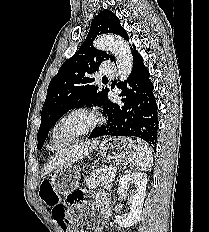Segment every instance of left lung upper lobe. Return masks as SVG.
<instances>
[{
  "instance_id": "1",
  "label": "left lung upper lobe",
  "mask_w": 209,
  "mask_h": 232,
  "mask_svg": "<svg viewBox=\"0 0 209 232\" xmlns=\"http://www.w3.org/2000/svg\"><path fill=\"white\" fill-rule=\"evenodd\" d=\"M103 33H114L129 39L112 11L103 10L92 20L89 33L79 50L63 63L49 84L37 135L38 149L42 148L53 124L69 110L92 104L102 106L105 110L109 89L100 90L94 85L95 78L92 77L103 60L115 62L113 56L93 46V40Z\"/></svg>"
}]
</instances>
